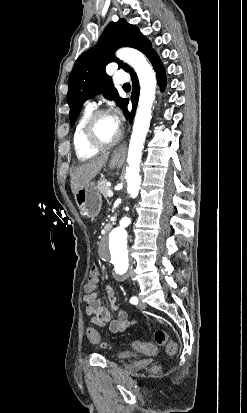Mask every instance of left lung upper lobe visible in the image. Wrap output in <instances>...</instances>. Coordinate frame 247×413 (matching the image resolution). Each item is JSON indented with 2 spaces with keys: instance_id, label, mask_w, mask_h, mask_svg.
Returning a JSON list of instances; mask_svg holds the SVG:
<instances>
[{
  "instance_id": "1",
  "label": "left lung upper lobe",
  "mask_w": 247,
  "mask_h": 413,
  "mask_svg": "<svg viewBox=\"0 0 247 413\" xmlns=\"http://www.w3.org/2000/svg\"><path fill=\"white\" fill-rule=\"evenodd\" d=\"M123 46L136 48L147 57L155 52L150 41L136 26L127 23L125 19L110 22L99 42L77 59L69 76L67 102L71 125H74L84 101L100 93H104L110 100L117 99L116 104L125 111L128 100L118 98L117 89L113 88L110 77L105 72L108 63L119 62L113 54ZM120 66L130 74L134 73L128 65L120 62Z\"/></svg>"
}]
</instances>
